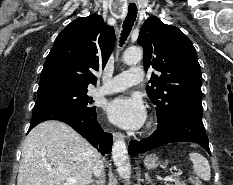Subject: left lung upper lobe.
<instances>
[{"label":"left lung upper lobe","instance_id":"5c2ea615","mask_svg":"<svg viewBox=\"0 0 233 185\" xmlns=\"http://www.w3.org/2000/svg\"><path fill=\"white\" fill-rule=\"evenodd\" d=\"M138 43L143 47L145 71L153 67L146 91L156 105L158 124L168 123L184 104L201 100L202 75L192 42L177 27L156 16L143 24Z\"/></svg>","mask_w":233,"mask_h":185}]
</instances>
